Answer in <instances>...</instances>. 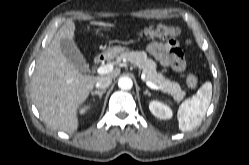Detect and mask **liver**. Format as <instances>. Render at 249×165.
<instances>
[{"label":"liver","mask_w":249,"mask_h":165,"mask_svg":"<svg viewBox=\"0 0 249 165\" xmlns=\"http://www.w3.org/2000/svg\"><path fill=\"white\" fill-rule=\"evenodd\" d=\"M91 24L113 26L96 21ZM75 28V23L69 20L59 29L38 59L31 81V96L43 121L51 128L66 133L77 130V110L100 78L82 74L64 56L60 42L62 39L73 41ZM119 74L120 69L117 68L104 77L115 78Z\"/></svg>","instance_id":"obj_1"}]
</instances>
